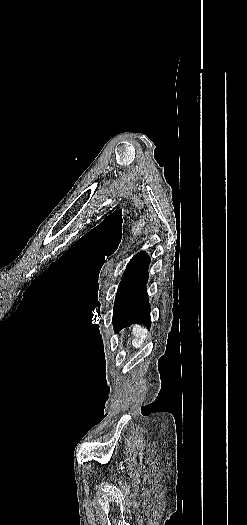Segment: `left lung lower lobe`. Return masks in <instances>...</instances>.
I'll return each mask as SVG.
<instances>
[{"label": "left lung lower lobe", "mask_w": 247, "mask_h": 525, "mask_svg": "<svg viewBox=\"0 0 247 525\" xmlns=\"http://www.w3.org/2000/svg\"><path fill=\"white\" fill-rule=\"evenodd\" d=\"M147 280L148 271L115 302L112 319L115 328H123L134 323H140L150 328L151 318L146 290Z\"/></svg>", "instance_id": "0a47b994"}]
</instances>
